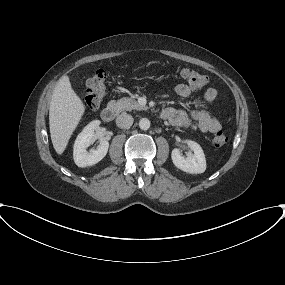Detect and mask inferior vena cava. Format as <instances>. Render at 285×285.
<instances>
[{"label": "inferior vena cava", "instance_id": "602c4592", "mask_svg": "<svg viewBox=\"0 0 285 285\" xmlns=\"http://www.w3.org/2000/svg\"><path fill=\"white\" fill-rule=\"evenodd\" d=\"M133 117L127 113H121L116 118V125L120 128H130L133 124Z\"/></svg>", "mask_w": 285, "mask_h": 285}]
</instances>
